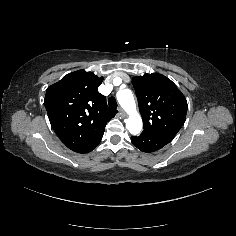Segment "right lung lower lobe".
I'll return each instance as SVG.
<instances>
[{
    "label": "right lung lower lobe",
    "mask_w": 236,
    "mask_h": 236,
    "mask_svg": "<svg viewBox=\"0 0 236 236\" xmlns=\"http://www.w3.org/2000/svg\"><path fill=\"white\" fill-rule=\"evenodd\" d=\"M101 139H102V137L98 141L94 142L93 144L85 146V147H83V148H81V149H79L78 151H75V152H77V153H88V152L92 151L100 143Z\"/></svg>",
    "instance_id": "98d812e1"
}]
</instances>
